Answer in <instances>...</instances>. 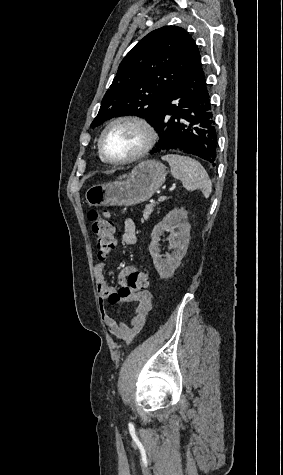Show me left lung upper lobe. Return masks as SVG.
Listing matches in <instances>:
<instances>
[{
    "mask_svg": "<svg viewBox=\"0 0 283 475\" xmlns=\"http://www.w3.org/2000/svg\"><path fill=\"white\" fill-rule=\"evenodd\" d=\"M201 66L198 47L186 30L164 26L150 32L120 63L91 126L125 115L145 118L152 125L169 90Z\"/></svg>",
    "mask_w": 283,
    "mask_h": 475,
    "instance_id": "left-lung-upper-lobe-1",
    "label": "left lung upper lobe"
}]
</instances>
